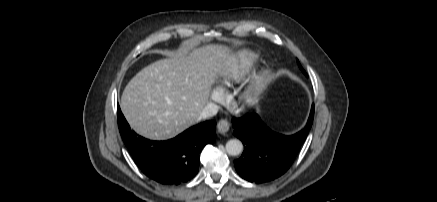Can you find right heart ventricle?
<instances>
[{
    "mask_svg": "<svg viewBox=\"0 0 437 202\" xmlns=\"http://www.w3.org/2000/svg\"><path fill=\"white\" fill-rule=\"evenodd\" d=\"M259 61V56L252 51H242L239 53L229 70L222 77L220 85L222 88H229L243 80L255 67Z\"/></svg>",
    "mask_w": 437,
    "mask_h": 202,
    "instance_id": "e07e8e85",
    "label": "right heart ventricle"
}]
</instances>
